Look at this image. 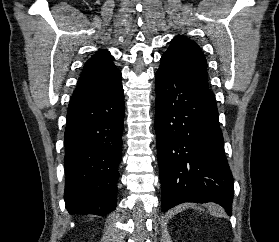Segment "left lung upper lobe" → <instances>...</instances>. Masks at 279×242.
<instances>
[{"label": "left lung upper lobe", "instance_id": "left-lung-upper-lobe-1", "mask_svg": "<svg viewBox=\"0 0 279 242\" xmlns=\"http://www.w3.org/2000/svg\"><path fill=\"white\" fill-rule=\"evenodd\" d=\"M170 56L178 65L190 71L208 86L207 62L200 47L184 36H176L163 54Z\"/></svg>", "mask_w": 279, "mask_h": 242}]
</instances>
